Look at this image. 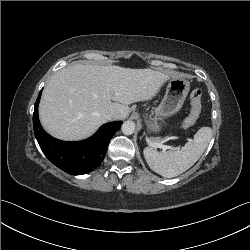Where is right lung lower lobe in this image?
I'll use <instances>...</instances> for the list:
<instances>
[{
    "label": "right lung lower lobe",
    "instance_id": "98d812e1",
    "mask_svg": "<svg viewBox=\"0 0 250 250\" xmlns=\"http://www.w3.org/2000/svg\"><path fill=\"white\" fill-rule=\"evenodd\" d=\"M41 92L37 98L33 114V128L39 146L46 157L58 168L71 175L89 173L100 166L108 148V144L122 121L102 125L90 138L79 142H66L47 134L38 118V104Z\"/></svg>",
    "mask_w": 250,
    "mask_h": 250
}]
</instances>
